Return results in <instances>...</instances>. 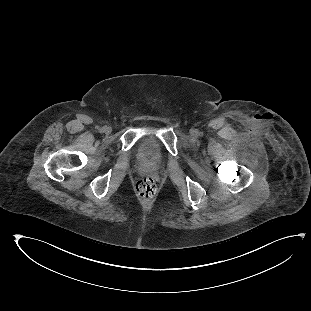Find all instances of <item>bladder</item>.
Returning a JSON list of instances; mask_svg holds the SVG:
<instances>
[{"label": "bladder", "mask_w": 311, "mask_h": 311, "mask_svg": "<svg viewBox=\"0 0 311 311\" xmlns=\"http://www.w3.org/2000/svg\"><path fill=\"white\" fill-rule=\"evenodd\" d=\"M135 159L138 165L143 168H156L165 164V150L154 133H147L139 140Z\"/></svg>", "instance_id": "31cf9c89"}]
</instances>
